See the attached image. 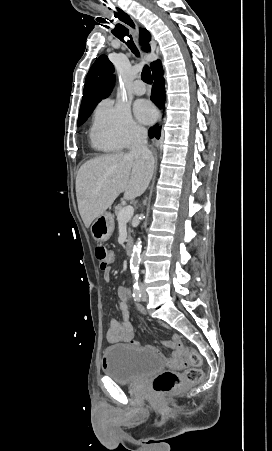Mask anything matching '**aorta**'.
Returning a JSON list of instances; mask_svg holds the SVG:
<instances>
[{
  "label": "aorta",
  "mask_w": 272,
  "mask_h": 451,
  "mask_svg": "<svg viewBox=\"0 0 272 451\" xmlns=\"http://www.w3.org/2000/svg\"><path fill=\"white\" fill-rule=\"evenodd\" d=\"M142 241L138 237L136 243L133 245L131 257H130V269L134 279L139 277V263L141 257Z\"/></svg>",
  "instance_id": "aorta-1"
}]
</instances>
